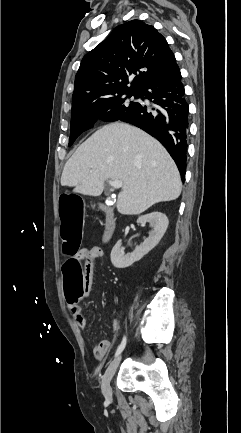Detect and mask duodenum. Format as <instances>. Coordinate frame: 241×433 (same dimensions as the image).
I'll return each mask as SVG.
<instances>
[{"label": "duodenum", "instance_id": "duodenum-1", "mask_svg": "<svg viewBox=\"0 0 241 433\" xmlns=\"http://www.w3.org/2000/svg\"><path fill=\"white\" fill-rule=\"evenodd\" d=\"M106 212H107V224H106V230L104 234L105 241L111 238L115 228V220L113 218L112 213L109 210H107Z\"/></svg>", "mask_w": 241, "mask_h": 433}]
</instances>
